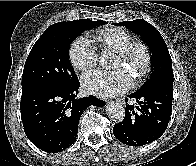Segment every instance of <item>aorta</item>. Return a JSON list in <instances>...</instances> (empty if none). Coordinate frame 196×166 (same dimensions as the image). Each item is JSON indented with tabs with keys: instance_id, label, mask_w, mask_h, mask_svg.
Returning <instances> with one entry per match:
<instances>
[{
	"instance_id": "aorta-1",
	"label": "aorta",
	"mask_w": 196,
	"mask_h": 166,
	"mask_svg": "<svg viewBox=\"0 0 196 166\" xmlns=\"http://www.w3.org/2000/svg\"><path fill=\"white\" fill-rule=\"evenodd\" d=\"M111 62V57L108 54L105 53L100 56V64L103 67H108L109 65H111ZM106 112L111 120L116 123L122 122L125 117V108L117 102L109 103L106 106Z\"/></svg>"
}]
</instances>
